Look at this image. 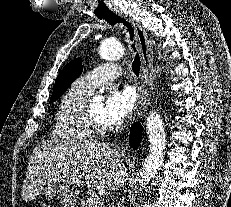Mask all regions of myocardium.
I'll return each mask as SVG.
<instances>
[{
	"mask_svg": "<svg viewBox=\"0 0 231 207\" xmlns=\"http://www.w3.org/2000/svg\"><path fill=\"white\" fill-rule=\"evenodd\" d=\"M83 118L87 127L93 134L103 135L111 130V128L107 124H103L93 118L89 111V105L86 103L84 105Z\"/></svg>",
	"mask_w": 231,
	"mask_h": 207,
	"instance_id": "obj_1",
	"label": "myocardium"
}]
</instances>
